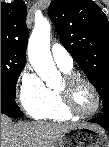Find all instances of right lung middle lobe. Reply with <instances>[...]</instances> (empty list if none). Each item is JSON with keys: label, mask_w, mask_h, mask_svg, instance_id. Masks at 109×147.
I'll return each instance as SVG.
<instances>
[{"label": "right lung middle lobe", "mask_w": 109, "mask_h": 147, "mask_svg": "<svg viewBox=\"0 0 109 147\" xmlns=\"http://www.w3.org/2000/svg\"><path fill=\"white\" fill-rule=\"evenodd\" d=\"M24 65V59L1 50V98L17 109L15 86Z\"/></svg>", "instance_id": "right-lung-middle-lobe-1"}]
</instances>
